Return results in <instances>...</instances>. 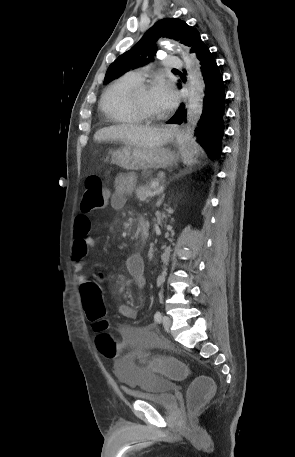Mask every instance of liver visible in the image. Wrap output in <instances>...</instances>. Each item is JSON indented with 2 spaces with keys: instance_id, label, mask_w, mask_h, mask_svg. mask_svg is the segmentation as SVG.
Masks as SVG:
<instances>
[{
  "instance_id": "obj_1",
  "label": "liver",
  "mask_w": 295,
  "mask_h": 457,
  "mask_svg": "<svg viewBox=\"0 0 295 457\" xmlns=\"http://www.w3.org/2000/svg\"><path fill=\"white\" fill-rule=\"evenodd\" d=\"M167 132L165 128L121 124L98 130L94 141H119L138 148H153L166 143Z\"/></svg>"
}]
</instances>
